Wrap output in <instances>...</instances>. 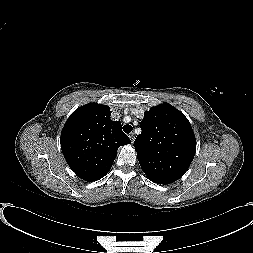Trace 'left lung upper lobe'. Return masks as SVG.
<instances>
[{
    "label": "left lung upper lobe",
    "mask_w": 253,
    "mask_h": 253,
    "mask_svg": "<svg viewBox=\"0 0 253 253\" xmlns=\"http://www.w3.org/2000/svg\"><path fill=\"white\" fill-rule=\"evenodd\" d=\"M141 134L134 147L147 177L158 184L179 179L196 152V140L188 119L168 103L146 111Z\"/></svg>",
    "instance_id": "obj_1"
}]
</instances>
